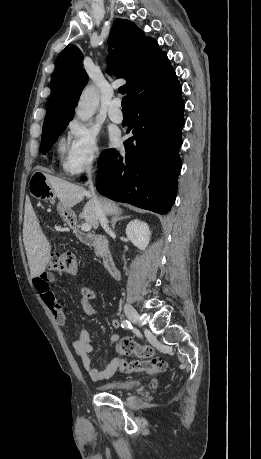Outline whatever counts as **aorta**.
Returning <instances> with one entry per match:
<instances>
[{
	"instance_id": "obj_1",
	"label": "aorta",
	"mask_w": 261,
	"mask_h": 459,
	"mask_svg": "<svg viewBox=\"0 0 261 459\" xmlns=\"http://www.w3.org/2000/svg\"><path fill=\"white\" fill-rule=\"evenodd\" d=\"M98 105L99 97L96 89L92 86L85 88L76 107L77 117L81 121L87 122L95 114Z\"/></svg>"
}]
</instances>
